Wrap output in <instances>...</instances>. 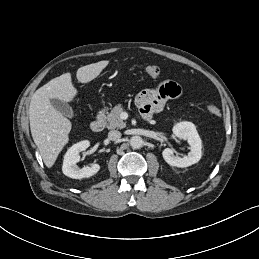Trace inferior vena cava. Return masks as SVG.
<instances>
[{
	"label": "inferior vena cava",
	"instance_id": "obj_1",
	"mask_svg": "<svg viewBox=\"0 0 259 259\" xmlns=\"http://www.w3.org/2000/svg\"><path fill=\"white\" fill-rule=\"evenodd\" d=\"M108 138L112 141L119 140L121 138V133L117 130H111L108 133Z\"/></svg>",
	"mask_w": 259,
	"mask_h": 259
}]
</instances>
